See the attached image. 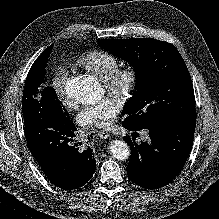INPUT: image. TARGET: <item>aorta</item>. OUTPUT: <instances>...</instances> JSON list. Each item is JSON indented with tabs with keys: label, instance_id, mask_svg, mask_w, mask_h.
I'll list each match as a JSON object with an SVG mask.
<instances>
[{
	"label": "aorta",
	"instance_id": "762f6f07",
	"mask_svg": "<svg viewBox=\"0 0 219 219\" xmlns=\"http://www.w3.org/2000/svg\"><path fill=\"white\" fill-rule=\"evenodd\" d=\"M99 86L97 81L88 75H77L67 81L66 93L69 98L77 102H91L98 98ZM110 154L117 160H125L130 156L128 144L121 140L111 142Z\"/></svg>",
	"mask_w": 219,
	"mask_h": 219
}]
</instances>
